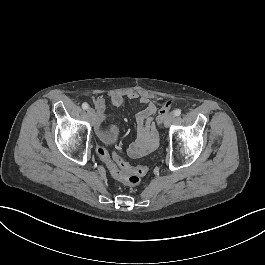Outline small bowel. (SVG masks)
Returning a JSON list of instances; mask_svg holds the SVG:
<instances>
[{"label":"small bowel","instance_id":"obj_1","mask_svg":"<svg viewBox=\"0 0 265 265\" xmlns=\"http://www.w3.org/2000/svg\"><path fill=\"white\" fill-rule=\"evenodd\" d=\"M129 100H137L143 107L136 115L138 130L140 136L138 140L129 148L128 153L131 157H142L156 147V131L153 123V116L157 111V104L150 96L146 94H137L130 92L126 95ZM125 97L120 92H112L110 95V104L113 107H120L124 103ZM95 110L101 113L104 110L103 100L97 97L94 100ZM107 169L112 174L113 170L119 169L117 163L109 156L104 161Z\"/></svg>","mask_w":265,"mask_h":265}]
</instances>
